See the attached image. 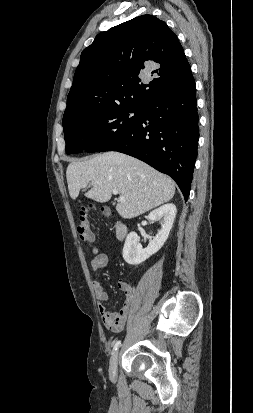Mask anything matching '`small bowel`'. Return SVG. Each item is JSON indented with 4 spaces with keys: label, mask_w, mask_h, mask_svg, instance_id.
Wrapping results in <instances>:
<instances>
[{
    "label": "small bowel",
    "mask_w": 253,
    "mask_h": 413,
    "mask_svg": "<svg viewBox=\"0 0 253 413\" xmlns=\"http://www.w3.org/2000/svg\"><path fill=\"white\" fill-rule=\"evenodd\" d=\"M93 254L94 257L91 260V266L94 271L100 272L106 267L108 263V256L104 253H99L96 248L93 249ZM118 287L125 293L126 300L120 311L113 312L107 309L103 304L109 298L108 293L104 290L98 280L93 282V289L98 301V308L102 322L104 326L112 332H120L125 327L135 297V289L129 282L124 280L119 281Z\"/></svg>",
    "instance_id": "1"
}]
</instances>
